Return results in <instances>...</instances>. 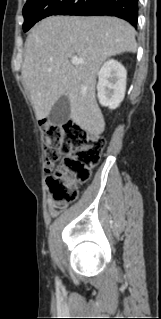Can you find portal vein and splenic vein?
<instances>
[{
  "label": "portal vein and splenic vein",
  "mask_w": 161,
  "mask_h": 319,
  "mask_svg": "<svg viewBox=\"0 0 161 319\" xmlns=\"http://www.w3.org/2000/svg\"><path fill=\"white\" fill-rule=\"evenodd\" d=\"M82 62H83V60L80 59V58H78V57H73V58L71 59V63H72L73 65H79V64H81Z\"/></svg>",
  "instance_id": "portal-vein-and-splenic-vein-1"
}]
</instances>
